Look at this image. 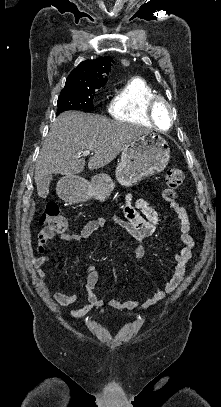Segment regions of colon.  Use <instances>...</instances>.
Returning <instances> with one entry per match:
<instances>
[{
  "instance_id": "obj_1",
  "label": "colon",
  "mask_w": 221,
  "mask_h": 407,
  "mask_svg": "<svg viewBox=\"0 0 221 407\" xmlns=\"http://www.w3.org/2000/svg\"><path fill=\"white\" fill-rule=\"evenodd\" d=\"M185 175L180 168H170L166 172V187L162 191V196L167 202L174 203L179 199L178 189L183 184ZM44 228L40 232L42 240L52 239L55 235L60 234L66 229V219L59 212L58 205L48 203L40 218Z\"/></svg>"
}]
</instances>
